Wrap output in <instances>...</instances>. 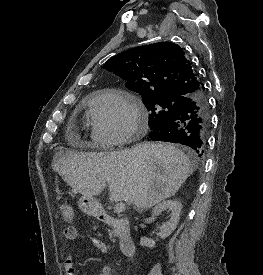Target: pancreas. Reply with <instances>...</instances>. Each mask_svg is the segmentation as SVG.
<instances>
[{
	"instance_id": "cf45deb5",
	"label": "pancreas",
	"mask_w": 263,
	"mask_h": 275,
	"mask_svg": "<svg viewBox=\"0 0 263 275\" xmlns=\"http://www.w3.org/2000/svg\"><path fill=\"white\" fill-rule=\"evenodd\" d=\"M113 236H114V232H110V233H109V238H110L111 240H113Z\"/></svg>"
}]
</instances>
